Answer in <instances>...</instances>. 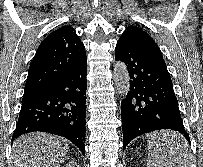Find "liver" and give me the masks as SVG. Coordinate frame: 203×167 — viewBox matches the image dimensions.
I'll list each match as a JSON object with an SVG mask.
<instances>
[{"instance_id": "liver-1", "label": "liver", "mask_w": 203, "mask_h": 167, "mask_svg": "<svg viewBox=\"0 0 203 167\" xmlns=\"http://www.w3.org/2000/svg\"><path fill=\"white\" fill-rule=\"evenodd\" d=\"M171 134L160 131L149 137L159 140ZM69 146L64 139L34 132L18 138L12 146L11 167H60L67 159Z\"/></svg>"}]
</instances>
